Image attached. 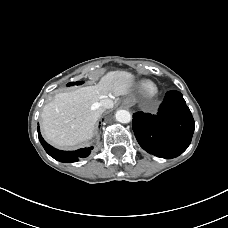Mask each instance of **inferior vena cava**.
Returning <instances> with one entry per match:
<instances>
[{"mask_svg":"<svg viewBox=\"0 0 228 228\" xmlns=\"http://www.w3.org/2000/svg\"><path fill=\"white\" fill-rule=\"evenodd\" d=\"M112 104H113V101L110 98L102 99L98 103V105L104 109L112 107Z\"/></svg>","mask_w":228,"mask_h":228,"instance_id":"inferior-vena-cava-1","label":"inferior vena cava"}]
</instances>
